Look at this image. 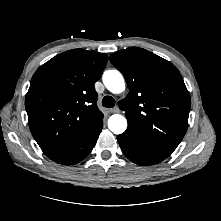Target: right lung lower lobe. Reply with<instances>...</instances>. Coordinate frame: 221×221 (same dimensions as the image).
Here are the masks:
<instances>
[{
    "instance_id": "98d812e1",
    "label": "right lung lower lobe",
    "mask_w": 221,
    "mask_h": 221,
    "mask_svg": "<svg viewBox=\"0 0 221 221\" xmlns=\"http://www.w3.org/2000/svg\"><path fill=\"white\" fill-rule=\"evenodd\" d=\"M102 128L103 116L92 122L76 142L65 148L47 153L46 155L59 164H77L89 155L95 146Z\"/></svg>"
}]
</instances>
